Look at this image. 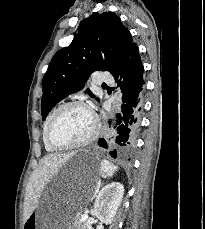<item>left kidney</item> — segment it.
Listing matches in <instances>:
<instances>
[{
  "label": "left kidney",
  "instance_id": "5707ae66",
  "mask_svg": "<svg viewBox=\"0 0 205 229\" xmlns=\"http://www.w3.org/2000/svg\"><path fill=\"white\" fill-rule=\"evenodd\" d=\"M124 195V187L119 182L104 186L96 196L94 215L103 223L111 224Z\"/></svg>",
  "mask_w": 205,
  "mask_h": 229
}]
</instances>
